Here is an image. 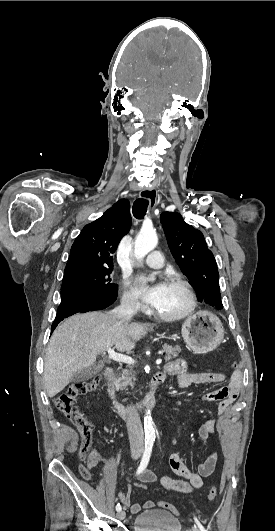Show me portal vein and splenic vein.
<instances>
[{
  "label": "portal vein and splenic vein",
  "instance_id": "portal-vein-and-splenic-vein-1",
  "mask_svg": "<svg viewBox=\"0 0 275 531\" xmlns=\"http://www.w3.org/2000/svg\"><path fill=\"white\" fill-rule=\"evenodd\" d=\"M107 351L109 359H113V361H118V363H127V365H133V363H135L134 359H132V357H128V355H119V353H115L114 349H107ZM160 363H162V359H157L156 365H160Z\"/></svg>",
  "mask_w": 275,
  "mask_h": 531
}]
</instances>
